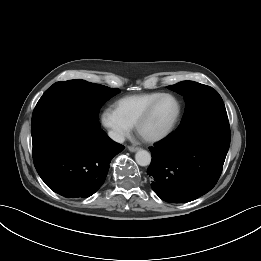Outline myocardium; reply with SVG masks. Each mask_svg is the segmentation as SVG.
Here are the masks:
<instances>
[{"mask_svg":"<svg viewBox=\"0 0 261 261\" xmlns=\"http://www.w3.org/2000/svg\"><path fill=\"white\" fill-rule=\"evenodd\" d=\"M166 97L173 99L176 103V113H175L174 117L172 118L170 123L167 125V127L165 129H163L161 132L151 135V136H144L141 133L143 125L149 120V118L151 117L157 104L163 98H166ZM180 115H181V104H180L179 100L177 99V97L170 93H162L158 97H156L147 106V108L143 111V113L140 115V117L136 121V123H135L136 133L146 142L154 143V142L161 141V140L165 139L167 136H169L172 133V131L175 129V127L179 121Z\"/></svg>","mask_w":261,"mask_h":261,"instance_id":"f54148a6","label":"myocardium"}]
</instances>
